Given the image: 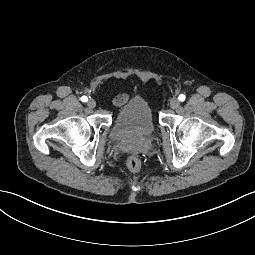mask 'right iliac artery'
<instances>
[{
  "label": "right iliac artery",
  "instance_id": "right-iliac-artery-1",
  "mask_svg": "<svg viewBox=\"0 0 255 255\" xmlns=\"http://www.w3.org/2000/svg\"><path fill=\"white\" fill-rule=\"evenodd\" d=\"M81 101H82V102H87V101H88L87 96H82V97H81Z\"/></svg>",
  "mask_w": 255,
  "mask_h": 255
}]
</instances>
